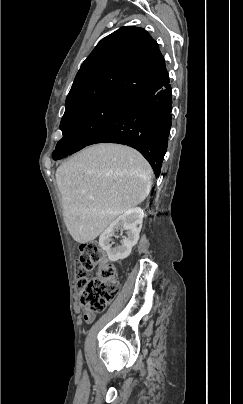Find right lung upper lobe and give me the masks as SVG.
Listing matches in <instances>:
<instances>
[{
	"mask_svg": "<svg viewBox=\"0 0 243 404\" xmlns=\"http://www.w3.org/2000/svg\"><path fill=\"white\" fill-rule=\"evenodd\" d=\"M158 44L138 27H121L102 39L82 63L66 98L65 112L101 99L128 100L168 80Z\"/></svg>",
	"mask_w": 243,
	"mask_h": 404,
	"instance_id": "1",
	"label": "right lung upper lobe"
}]
</instances>
